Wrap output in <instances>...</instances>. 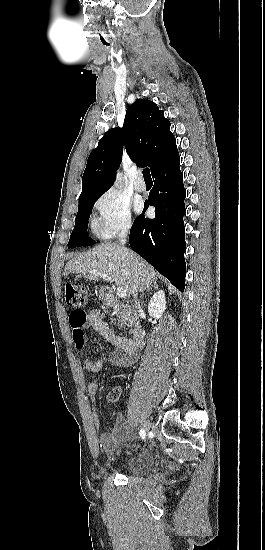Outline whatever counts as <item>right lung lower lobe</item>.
<instances>
[{
    "label": "right lung lower lobe",
    "mask_w": 265,
    "mask_h": 550,
    "mask_svg": "<svg viewBox=\"0 0 265 550\" xmlns=\"http://www.w3.org/2000/svg\"><path fill=\"white\" fill-rule=\"evenodd\" d=\"M176 150L160 167L152 172L154 186L146 200L143 213L149 205L155 207V218L144 214L134 221L129 235L131 248L167 277L180 291L185 286V226L186 212L183 175Z\"/></svg>",
    "instance_id": "98d812e1"
}]
</instances>
